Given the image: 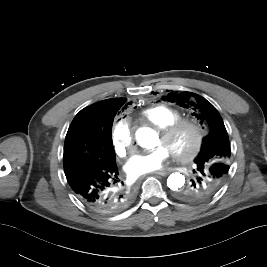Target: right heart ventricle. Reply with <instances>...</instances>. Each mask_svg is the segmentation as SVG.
Segmentation results:
<instances>
[{
    "mask_svg": "<svg viewBox=\"0 0 267 267\" xmlns=\"http://www.w3.org/2000/svg\"><path fill=\"white\" fill-rule=\"evenodd\" d=\"M181 117L182 112L179 109L164 104L146 108L140 113L141 120L159 129Z\"/></svg>",
    "mask_w": 267,
    "mask_h": 267,
    "instance_id": "right-heart-ventricle-1",
    "label": "right heart ventricle"
}]
</instances>
